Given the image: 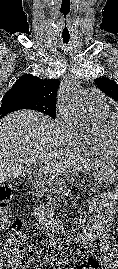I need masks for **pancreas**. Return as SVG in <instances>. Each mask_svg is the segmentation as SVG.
Segmentation results:
<instances>
[{
	"label": "pancreas",
	"mask_w": 118,
	"mask_h": 269,
	"mask_svg": "<svg viewBox=\"0 0 118 269\" xmlns=\"http://www.w3.org/2000/svg\"><path fill=\"white\" fill-rule=\"evenodd\" d=\"M43 183H39L38 187L41 189L43 192H48L49 197H51V192H52V184L50 181L43 180ZM86 192H101L102 188L98 186L97 182H88V187L85 188ZM56 205V200L51 198V201H49L47 207L53 208V206Z\"/></svg>",
	"instance_id": "cf45deb5"
}]
</instances>
